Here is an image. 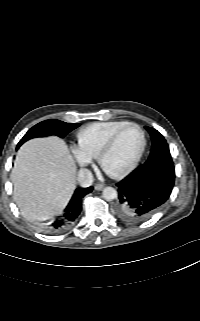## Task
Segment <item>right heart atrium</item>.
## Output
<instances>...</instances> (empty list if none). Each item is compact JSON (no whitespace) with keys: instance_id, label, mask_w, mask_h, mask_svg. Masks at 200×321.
Here are the masks:
<instances>
[{"instance_id":"d8ad5b80","label":"right heart atrium","mask_w":200,"mask_h":321,"mask_svg":"<svg viewBox=\"0 0 200 321\" xmlns=\"http://www.w3.org/2000/svg\"><path fill=\"white\" fill-rule=\"evenodd\" d=\"M71 150L75 160L81 167H85L92 162L93 158L83 152L79 146L74 145L72 146Z\"/></svg>"}]
</instances>
